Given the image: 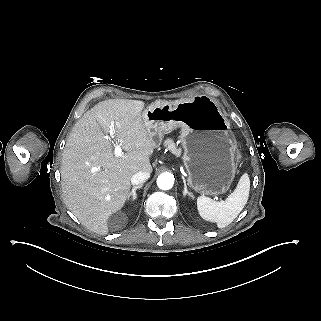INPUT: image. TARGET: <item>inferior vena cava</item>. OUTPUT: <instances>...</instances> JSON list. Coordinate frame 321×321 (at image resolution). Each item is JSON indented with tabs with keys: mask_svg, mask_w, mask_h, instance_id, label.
Masks as SVG:
<instances>
[{
	"mask_svg": "<svg viewBox=\"0 0 321 321\" xmlns=\"http://www.w3.org/2000/svg\"><path fill=\"white\" fill-rule=\"evenodd\" d=\"M150 177L149 172H136L132 177H131V183L132 185H142L145 181H147Z\"/></svg>",
	"mask_w": 321,
	"mask_h": 321,
	"instance_id": "inferior-vena-cava-1",
	"label": "inferior vena cava"
}]
</instances>
